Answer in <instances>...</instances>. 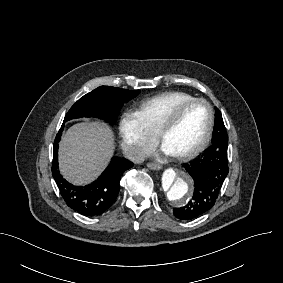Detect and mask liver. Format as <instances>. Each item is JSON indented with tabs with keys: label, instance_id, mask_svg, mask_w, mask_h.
Segmentation results:
<instances>
[{
	"label": "liver",
	"instance_id": "6515ba94",
	"mask_svg": "<svg viewBox=\"0 0 283 283\" xmlns=\"http://www.w3.org/2000/svg\"><path fill=\"white\" fill-rule=\"evenodd\" d=\"M114 149V133L106 123H77L62 138L58 157L60 172L75 185L89 184L108 166Z\"/></svg>",
	"mask_w": 283,
	"mask_h": 283
}]
</instances>
